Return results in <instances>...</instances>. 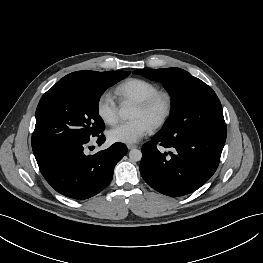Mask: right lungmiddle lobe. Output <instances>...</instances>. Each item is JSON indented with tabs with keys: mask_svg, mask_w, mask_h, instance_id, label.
Listing matches in <instances>:
<instances>
[{
	"mask_svg": "<svg viewBox=\"0 0 263 263\" xmlns=\"http://www.w3.org/2000/svg\"><path fill=\"white\" fill-rule=\"evenodd\" d=\"M130 71H91L77 81H59L41 98L36 109L32 149L38 154L56 144L98 136L104 123L98 115L103 92Z\"/></svg>",
	"mask_w": 263,
	"mask_h": 263,
	"instance_id": "right-lung-middle-lobe-1",
	"label": "right lung middle lobe"
}]
</instances>
